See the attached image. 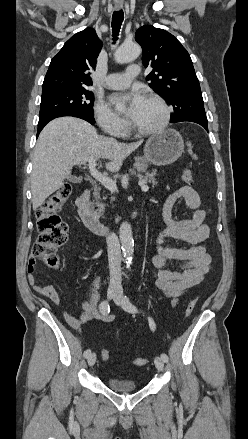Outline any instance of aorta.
Instances as JSON below:
<instances>
[{
	"label": "aorta",
	"instance_id": "obj_1",
	"mask_svg": "<svg viewBox=\"0 0 248 439\" xmlns=\"http://www.w3.org/2000/svg\"><path fill=\"white\" fill-rule=\"evenodd\" d=\"M141 53V47L137 43H127L121 45L114 54L117 63H127L135 60ZM119 238L121 248L127 263H130L134 253V240L131 225L123 222L119 228Z\"/></svg>",
	"mask_w": 248,
	"mask_h": 439
}]
</instances>
